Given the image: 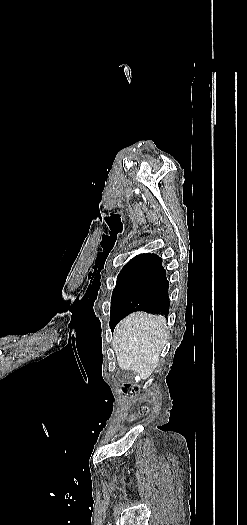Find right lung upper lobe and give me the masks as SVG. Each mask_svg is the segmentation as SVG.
<instances>
[{
    "mask_svg": "<svg viewBox=\"0 0 247 525\" xmlns=\"http://www.w3.org/2000/svg\"><path fill=\"white\" fill-rule=\"evenodd\" d=\"M157 256L154 254H141L130 260L122 269V271H128L138 269L147 266L153 258Z\"/></svg>",
    "mask_w": 247,
    "mask_h": 525,
    "instance_id": "right-lung-upper-lobe-1",
    "label": "right lung upper lobe"
}]
</instances>
